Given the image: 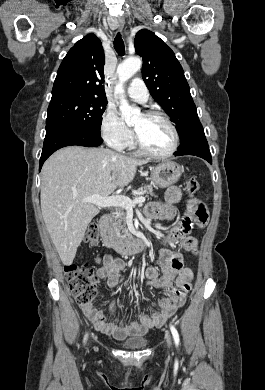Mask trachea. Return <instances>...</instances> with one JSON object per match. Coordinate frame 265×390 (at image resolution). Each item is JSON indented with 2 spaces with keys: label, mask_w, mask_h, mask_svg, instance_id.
<instances>
[{
  "label": "trachea",
  "mask_w": 265,
  "mask_h": 390,
  "mask_svg": "<svg viewBox=\"0 0 265 390\" xmlns=\"http://www.w3.org/2000/svg\"><path fill=\"white\" fill-rule=\"evenodd\" d=\"M114 48L116 52L120 55L123 56L125 53V46L124 42L122 40L121 35L118 33L117 36L114 39Z\"/></svg>",
  "instance_id": "3493384b"
}]
</instances>
